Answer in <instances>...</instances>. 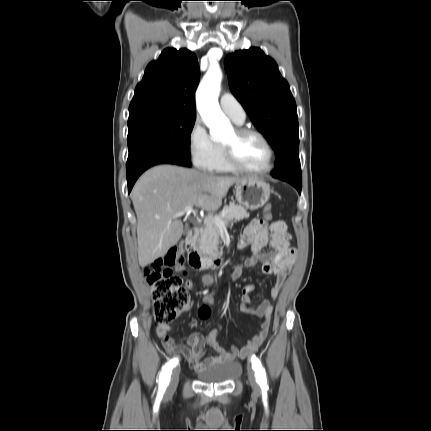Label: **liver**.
<instances>
[{"label":"liver","instance_id":"liver-1","mask_svg":"<svg viewBox=\"0 0 431 431\" xmlns=\"http://www.w3.org/2000/svg\"><path fill=\"white\" fill-rule=\"evenodd\" d=\"M242 179L173 165H159L146 171L131 193L137 215L140 266L164 256L180 240L183 223L173 217L177 212L187 206L218 210L229 188Z\"/></svg>","mask_w":431,"mask_h":431}]
</instances>
